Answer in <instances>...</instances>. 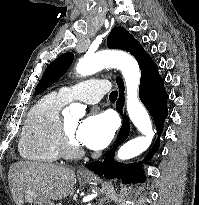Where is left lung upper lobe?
<instances>
[{"label":"left lung upper lobe","mask_w":199,"mask_h":205,"mask_svg":"<svg viewBox=\"0 0 199 205\" xmlns=\"http://www.w3.org/2000/svg\"><path fill=\"white\" fill-rule=\"evenodd\" d=\"M134 37L123 27L113 28L107 37V46L112 49L127 50ZM74 59L72 53H65L51 62L46 68L41 80L36 86L35 93L44 92L69 69Z\"/></svg>","instance_id":"1"}]
</instances>
